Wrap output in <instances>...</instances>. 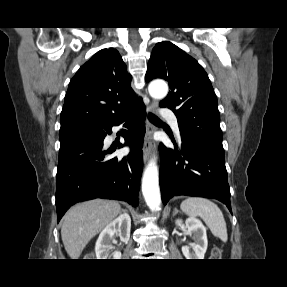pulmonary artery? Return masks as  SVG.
Returning <instances> with one entry per match:
<instances>
[{
  "label": "pulmonary artery",
  "mask_w": 287,
  "mask_h": 287,
  "mask_svg": "<svg viewBox=\"0 0 287 287\" xmlns=\"http://www.w3.org/2000/svg\"><path fill=\"white\" fill-rule=\"evenodd\" d=\"M161 114H162L163 116H165V117L170 118L171 124H172L174 130H175L176 132H179V127H178L177 118H176L175 116H173L171 110L168 109V108H163V109L161 110Z\"/></svg>",
  "instance_id": "obj_1"
}]
</instances>
